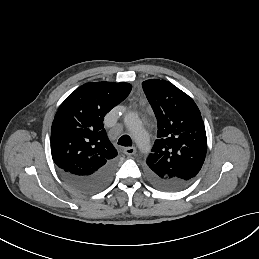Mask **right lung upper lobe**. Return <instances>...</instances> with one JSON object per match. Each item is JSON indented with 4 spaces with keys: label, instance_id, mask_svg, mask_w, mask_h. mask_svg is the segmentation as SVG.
I'll list each match as a JSON object with an SVG mask.
<instances>
[{
    "label": "right lung upper lobe",
    "instance_id": "right-lung-upper-lobe-1",
    "mask_svg": "<svg viewBox=\"0 0 259 259\" xmlns=\"http://www.w3.org/2000/svg\"><path fill=\"white\" fill-rule=\"evenodd\" d=\"M131 89L129 83L89 82L68 96L51 128V154L60 169L88 175L117 156L103 120Z\"/></svg>",
    "mask_w": 259,
    "mask_h": 259
}]
</instances>
